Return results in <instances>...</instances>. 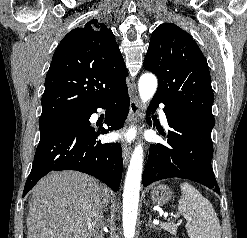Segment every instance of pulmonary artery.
<instances>
[{
	"label": "pulmonary artery",
	"instance_id": "1",
	"mask_svg": "<svg viewBox=\"0 0 247 238\" xmlns=\"http://www.w3.org/2000/svg\"><path fill=\"white\" fill-rule=\"evenodd\" d=\"M159 117H160L162 124L167 125V117H166V114L162 106H160V109H159Z\"/></svg>",
	"mask_w": 247,
	"mask_h": 238
}]
</instances>
